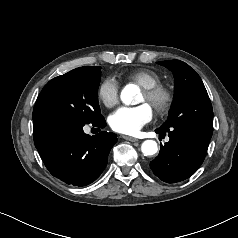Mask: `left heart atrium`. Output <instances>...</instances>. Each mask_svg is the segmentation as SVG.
Masks as SVG:
<instances>
[{"instance_id":"39dd6f15","label":"left heart atrium","mask_w":238,"mask_h":238,"mask_svg":"<svg viewBox=\"0 0 238 238\" xmlns=\"http://www.w3.org/2000/svg\"><path fill=\"white\" fill-rule=\"evenodd\" d=\"M153 118L152 108L144 103L135 107H121L111 114L109 122L113 130L123 134H135Z\"/></svg>"}]
</instances>
